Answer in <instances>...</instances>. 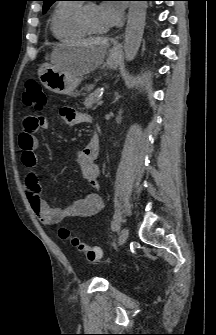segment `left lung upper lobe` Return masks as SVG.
<instances>
[{
    "label": "left lung upper lobe",
    "mask_w": 216,
    "mask_h": 335,
    "mask_svg": "<svg viewBox=\"0 0 216 335\" xmlns=\"http://www.w3.org/2000/svg\"><path fill=\"white\" fill-rule=\"evenodd\" d=\"M44 1L43 12H46L48 8L57 0H42Z\"/></svg>",
    "instance_id": "5c2ea615"
}]
</instances>
